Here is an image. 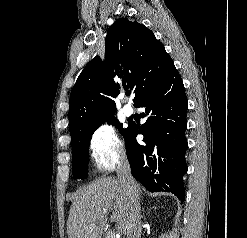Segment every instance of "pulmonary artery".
Masks as SVG:
<instances>
[{
	"label": "pulmonary artery",
	"mask_w": 247,
	"mask_h": 238,
	"mask_svg": "<svg viewBox=\"0 0 247 238\" xmlns=\"http://www.w3.org/2000/svg\"><path fill=\"white\" fill-rule=\"evenodd\" d=\"M122 111L126 116H130L133 114V108L128 104L123 106Z\"/></svg>",
	"instance_id": "1"
}]
</instances>
